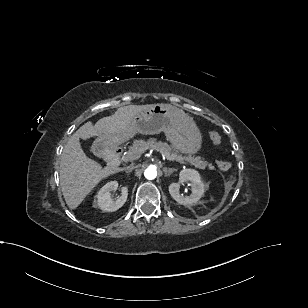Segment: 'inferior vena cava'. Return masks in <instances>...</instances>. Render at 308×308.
Listing matches in <instances>:
<instances>
[{"instance_id": "obj_1", "label": "inferior vena cava", "mask_w": 308, "mask_h": 308, "mask_svg": "<svg viewBox=\"0 0 308 308\" xmlns=\"http://www.w3.org/2000/svg\"><path fill=\"white\" fill-rule=\"evenodd\" d=\"M135 167L132 166V167H129L127 170H126V173H130Z\"/></svg>"}]
</instances>
